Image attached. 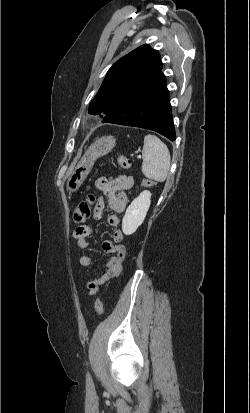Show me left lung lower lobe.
<instances>
[{
    "instance_id": "obj_1",
    "label": "left lung lower lobe",
    "mask_w": 250,
    "mask_h": 413,
    "mask_svg": "<svg viewBox=\"0 0 250 413\" xmlns=\"http://www.w3.org/2000/svg\"><path fill=\"white\" fill-rule=\"evenodd\" d=\"M103 121L153 130L174 141L176 135L165 76L138 84L133 95Z\"/></svg>"
}]
</instances>
